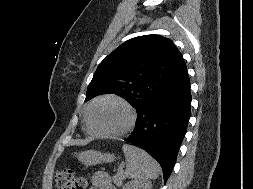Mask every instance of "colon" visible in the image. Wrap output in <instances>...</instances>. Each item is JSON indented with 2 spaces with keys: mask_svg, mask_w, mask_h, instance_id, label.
I'll return each instance as SVG.
<instances>
[{
  "mask_svg": "<svg viewBox=\"0 0 253 189\" xmlns=\"http://www.w3.org/2000/svg\"><path fill=\"white\" fill-rule=\"evenodd\" d=\"M58 189H85L86 182L69 168L61 169L56 175Z\"/></svg>",
  "mask_w": 253,
  "mask_h": 189,
  "instance_id": "1",
  "label": "colon"
}]
</instances>
